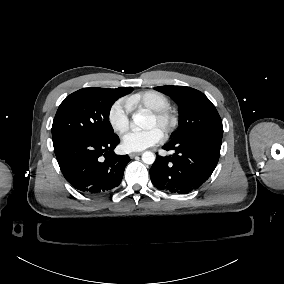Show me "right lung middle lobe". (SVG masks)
<instances>
[{"instance_id": "dd1d6c3e", "label": "right lung middle lobe", "mask_w": 284, "mask_h": 284, "mask_svg": "<svg viewBox=\"0 0 284 284\" xmlns=\"http://www.w3.org/2000/svg\"><path fill=\"white\" fill-rule=\"evenodd\" d=\"M124 95L115 89L83 88L67 96L53 121L54 147L75 138L112 136L114 132L109 122L110 109Z\"/></svg>"}]
</instances>
